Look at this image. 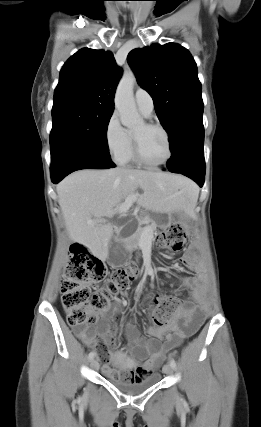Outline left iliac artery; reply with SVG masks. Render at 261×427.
<instances>
[{"label": "left iliac artery", "mask_w": 261, "mask_h": 427, "mask_svg": "<svg viewBox=\"0 0 261 427\" xmlns=\"http://www.w3.org/2000/svg\"><path fill=\"white\" fill-rule=\"evenodd\" d=\"M170 365H171V367H172L173 369H176V362H175V360H174V359H171V360H170Z\"/></svg>", "instance_id": "1"}]
</instances>
